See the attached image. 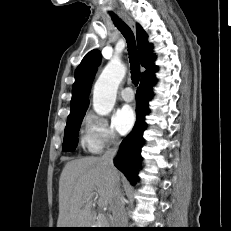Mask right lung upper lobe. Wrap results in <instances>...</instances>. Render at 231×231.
<instances>
[{"label": "right lung upper lobe", "mask_w": 231, "mask_h": 231, "mask_svg": "<svg viewBox=\"0 0 231 231\" xmlns=\"http://www.w3.org/2000/svg\"><path fill=\"white\" fill-rule=\"evenodd\" d=\"M147 34L142 27L137 24V46L140 63L146 68L141 74V80L154 76L157 66L153 64L154 54L152 45L147 42ZM101 59L98 50L90 51L81 61L75 71V82L72 87L71 110L69 116H74L86 112L88 107V95L90 93L96 67Z\"/></svg>", "instance_id": "cb5924a9"}]
</instances>
